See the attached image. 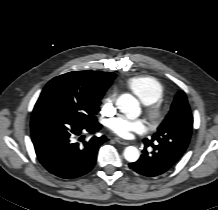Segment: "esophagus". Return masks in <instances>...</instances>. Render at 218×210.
<instances>
[{"mask_svg":"<svg viewBox=\"0 0 218 210\" xmlns=\"http://www.w3.org/2000/svg\"><path fill=\"white\" fill-rule=\"evenodd\" d=\"M114 140H115L117 143L122 144V145H128V144H129L128 141L123 140V139H121V138H119V137H115Z\"/></svg>","mask_w":218,"mask_h":210,"instance_id":"obj_1","label":"esophagus"}]
</instances>
